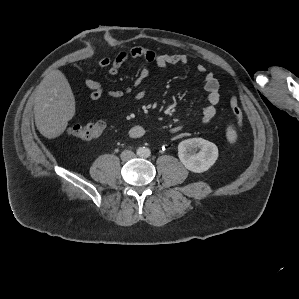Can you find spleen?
Segmentation results:
<instances>
[{"label":"spleen","mask_w":299,"mask_h":299,"mask_svg":"<svg viewBox=\"0 0 299 299\" xmlns=\"http://www.w3.org/2000/svg\"><path fill=\"white\" fill-rule=\"evenodd\" d=\"M236 132L235 130L232 128V126H229L227 129V139L229 140V142L233 143L236 140Z\"/></svg>","instance_id":"1"}]
</instances>
